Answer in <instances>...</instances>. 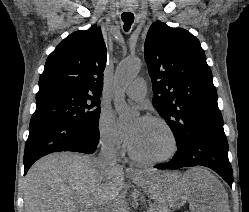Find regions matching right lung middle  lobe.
Wrapping results in <instances>:
<instances>
[{
	"label": "right lung middle lobe",
	"mask_w": 249,
	"mask_h": 212,
	"mask_svg": "<svg viewBox=\"0 0 249 212\" xmlns=\"http://www.w3.org/2000/svg\"><path fill=\"white\" fill-rule=\"evenodd\" d=\"M100 96L79 92H50L36 95V110L30 126L47 121H67L97 128Z\"/></svg>",
	"instance_id": "right-lung-middle-lobe-1"
}]
</instances>
